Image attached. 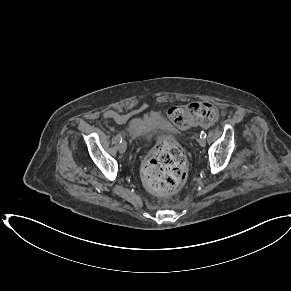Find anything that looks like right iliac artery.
<instances>
[{"mask_svg":"<svg viewBox=\"0 0 291 291\" xmlns=\"http://www.w3.org/2000/svg\"><path fill=\"white\" fill-rule=\"evenodd\" d=\"M116 139H117V141H122V135L121 134H117L116 135Z\"/></svg>","mask_w":291,"mask_h":291,"instance_id":"right-iliac-artery-1","label":"right iliac artery"}]
</instances>
